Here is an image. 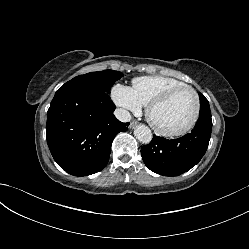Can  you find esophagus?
<instances>
[{
  "label": "esophagus",
  "mask_w": 249,
  "mask_h": 249,
  "mask_svg": "<svg viewBox=\"0 0 249 249\" xmlns=\"http://www.w3.org/2000/svg\"><path fill=\"white\" fill-rule=\"evenodd\" d=\"M137 125V121H131L129 128H134Z\"/></svg>",
  "instance_id": "obj_1"
}]
</instances>
